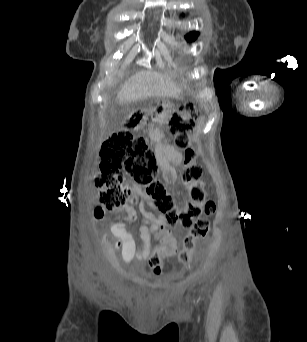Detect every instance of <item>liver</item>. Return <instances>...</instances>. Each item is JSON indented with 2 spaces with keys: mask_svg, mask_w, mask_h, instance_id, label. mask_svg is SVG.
I'll return each instance as SVG.
<instances>
[{
  "mask_svg": "<svg viewBox=\"0 0 307 342\" xmlns=\"http://www.w3.org/2000/svg\"><path fill=\"white\" fill-rule=\"evenodd\" d=\"M171 78H166L161 72L141 70L128 78L117 94L119 102H140L147 98H179L181 90Z\"/></svg>",
  "mask_w": 307,
  "mask_h": 342,
  "instance_id": "liver-1",
  "label": "liver"
}]
</instances>
